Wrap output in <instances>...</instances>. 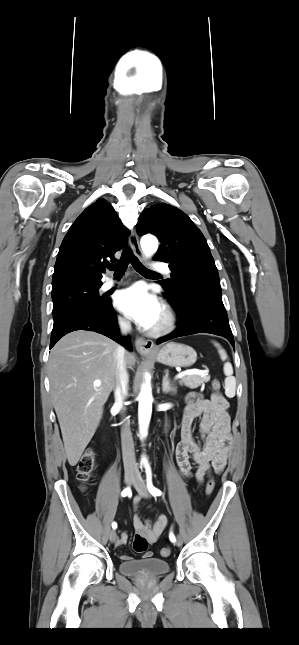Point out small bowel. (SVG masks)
Masks as SVG:
<instances>
[{
    "label": "small bowel",
    "mask_w": 299,
    "mask_h": 645,
    "mask_svg": "<svg viewBox=\"0 0 299 645\" xmlns=\"http://www.w3.org/2000/svg\"><path fill=\"white\" fill-rule=\"evenodd\" d=\"M228 408V401L221 394H213L210 399H205L198 393L187 396L181 422V440L175 451L176 463L184 477L202 483L211 471L219 473L226 466L232 444ZM196 418H200L198 431L201 443L194 435ZM192 464L197 467L194 473ZM139 505L140 498L137 496L133 499V525L136 534L143 536L149 544H154L167 528L168 518L159 515L154 522L143 520L139 514ZM127 540L128 535L123 532L117 546L126 544ZM151 556V552L144 554V558ZM119 558L124 561L131 559L125 554H120Z\"/></svg>",
    "instance_id": "c3829d8e"
}]
</instances>
